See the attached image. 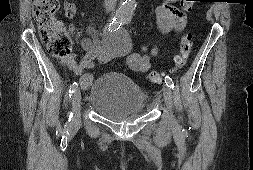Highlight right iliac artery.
I'll use <instances>...</instances> for the list:
<instances>
[{
    "label": "right iliac artery",
    "mask_w": 253,
    "mask_h": 170,
    "mask_svg": "<svg viewBox=\"0 0 253 170\" xmlns=\"http://www.w3.org/2000/svg\"><path fill=\"white\" fill-rule=\"evenodd\" d=\"M122 18L119 16H114L111 20L110 23L106 26L105 30L106 31H116L120 28V26H122ZM78 87V83L77 82H73L70 85V89H69V96L71 97V95L74 93V91L77 89Z\"/></svg>",
    "instance_id": "82829eb1"
}]
</instances>
